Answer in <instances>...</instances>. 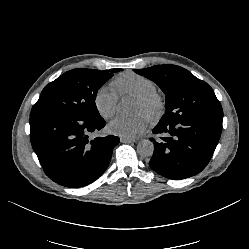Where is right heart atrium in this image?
Listing matches in <instances>:
<instances>
[{
  "label": "right heart atrium",
  "mask_w": 249,
  "mask_h": 249,
  "mask_svg": "<svg viewBox=\"0 0 249 249\" xmlns=\"http://www.w3.org/2000/svg\"><path fill=\"white\" fill-rule=\"evenodd\" d=\"M118 96L106 85L97 88L93 96V105L104 119L110 118L117 110Z\"/></svg>",
  "instance_id": "obj_1"
}]
</instances>
